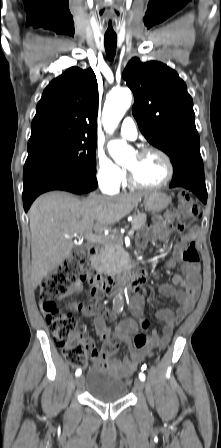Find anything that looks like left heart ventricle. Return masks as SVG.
I'll list each match as a JSON object with an SVG mask.
<instances>
[{"mask_svg": "<svg viewBox=\"0 0 221 448\" xmlns=\"http://www.w3.org/2000/svg\"><path fill=\"white\" fill-rule=\"evenodd\" d=\"M127 168L143 184L156 185L165 180L168 169L166 163L157 154L145 156L135 155L128 163Z\"/></svg>", "mask_w": 221, "mask_h": 448, "instance_id": "1", "label": "left heart ventricle"}]
</instances>
